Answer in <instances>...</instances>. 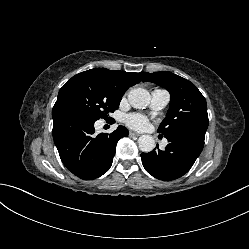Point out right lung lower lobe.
Returning <instances> with one entry per match:
<instances>
[{
  "instance_id": "right-lung-lower-lobe-1",
  "label": "right lung lower lobe",
  "mask_w": 249,
  "mask_h": 249,
  "mask_svg": "<svg viewBox=\"0 0 249 249\" xmlns=\"http://www.w3.org/2000/svg\"><path fill=\"white\" fill-rule=\"evenodd\" d=\"M52 117V134L60 158L67 169L81 179H95L107 172L118 140L128 136L124 126L111 134L96 136L95 121L66 107H53Z\"/></svg>"
}]
</instances>
